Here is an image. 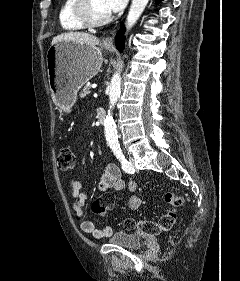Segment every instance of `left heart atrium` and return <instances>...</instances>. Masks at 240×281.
<instances>
[{
    "mask_svg": "<svg viewBox=\"0 0 240 281\" xmlns=\"http://www.w3.org/2000/svg\"><path fill=\"white\" fill-rule=\"evenodd\" d=\"M128 0H105V7L109 13L122 10Z\"/></svg>",
    "mask_w": 240,
    "mask_h": 281,
    "instance_id": "left-heart-atrium-1",
    "label": "left heart atrium"
}]
</instances>
